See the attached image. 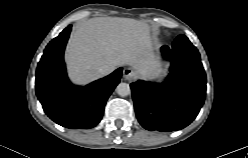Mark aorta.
I'll use <instances>...</instances> for the list:
<instances>
[{
  "label": "aorta",
  "instance_id": "1",
  "mask_svg": "<svg viewBox=\"0 0 248 158\" xmlns=\"http://www.w3.org/2000/svg\"><path fill=\"white\" fill-rule=\"evenodd\" d=\"M116 92L118 95L124 97L131 93V89H130L129 84L121 82L117 85Z\"/></svg>",
  "mask_w": 248,
  "mask_h": 158
}]
</instances>
